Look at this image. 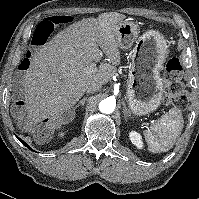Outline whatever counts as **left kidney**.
Here are the masks:
<instances>
[{"label": "left kidney", "instance_id": "1", "mask_svg": "<svg viewBox=\"0 0 199 199\" xmlns=\"http://www.w3.org/2000/svg\"><path fill=\"white\" fill-rule=\"evenodd\" d=\"M129 137H130L132 144H134L138 149L143 148L142 136L138 132L131 131L129 133Z\"/></svg>", "mask_w": 199, "mask_h": 199}]
</instances>
